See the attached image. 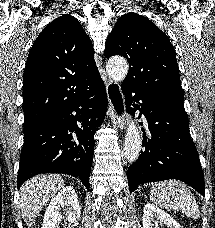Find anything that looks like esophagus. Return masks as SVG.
<instances>
[{
  "label": "esophagus",
  "instance_id": "esophagus-1",
  "mask_svg": "<svg viewBox=\"0 0 215 228\" xmlns=\"http://www.w3.org/2000/svg\"><path fill=\"white\" fill-rule=\"evenodd\" d=\"M106 93L115 123L119 129L125 128L126 105L121 87L113 80L106 82Z\"/></svg>",
  "mask_w": 215,
  "mask_h": 228
}]
</instances>
